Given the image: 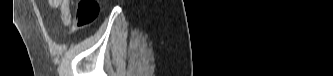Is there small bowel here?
Instances as JSON below:
<instances>
[{
    "instance_id": "c3829d8e",
    "label": "small bowel",
    "mask_w": 333,
    "mask_h": 76,
    "mask_svg": "<svg viewBox=\"0 0 333 76\" xmlns=\"http://www.w3.org/2000/svg\"><path fill=\"white\" fill-rule=\"evenodd\" d=\"M48 5L59 10L60 19L64 25H69L71 23L69 0H49Z\"/></svg>"
}]
</instances>
